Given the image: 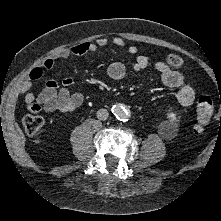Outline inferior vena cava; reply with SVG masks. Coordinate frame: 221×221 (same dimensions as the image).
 I'll use <instances>...</instances> for the list:
<instances>
[{
  "label": "inferior vena cava",
  "mask_w": 221,
  "mask_h": 221,
  "mask_svg": "<svg viewBox=\"0 0 221 221\" xmlns=\"http://www.w3.org/2000/svg\"><path fill=\"white\" fill-rule=\"evenodd\" d=\"M108 116H109V113L106 109L102 108L97 111V118L99 120H106L108 118Z\"/></svg>",
  "instance_id": "1"
}]
</instances>
